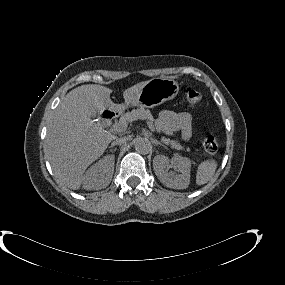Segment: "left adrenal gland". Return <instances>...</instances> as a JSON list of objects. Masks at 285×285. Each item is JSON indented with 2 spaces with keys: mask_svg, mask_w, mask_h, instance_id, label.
<instances>
[{
  "mask_svg": "<svg viewBox=\"0 0 285 285\" xmlns=\"http://www.w3.org/2000/svg\"><path fill=\"white\" fill-rule=\"evenodd\" d=\"M154 143H155L156 145H161V146L165 147L161 142H159V141H157V140H155Z\"/></svg>",
  "mask_w": 285,
  "mask_h": 285,
  "instance_id": "left-adrenal-gland-1",
  "label": "left adrenal gland"
}]
</instances>
